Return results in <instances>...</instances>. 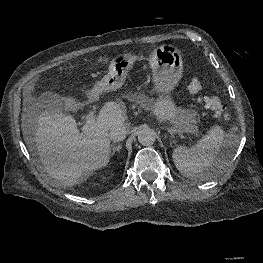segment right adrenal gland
I'll list each match as a JSON object with an SVG mask.
<instances>
[{"label":"right adrenal gland","mask_w":263,"mask_h":263,"mask_svg":"<svg viewBox=\"0 0 263 263\" xmlns=\"http://www.w3.org/2000/svg\"><path fill=\"white\" fill-rule=\"evenodd\" d=\"M121 148H122V144H119L117 147H116L115 145H112L111 157H113V155H114L116 152H119Z\"/></svg>","instance_id":"obj_1"}]
</instances>
